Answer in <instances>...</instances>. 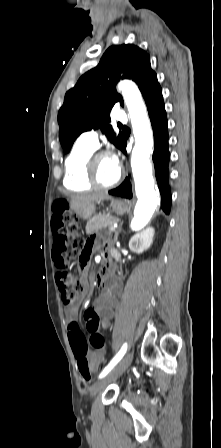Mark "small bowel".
I'll list each match as a JSON object with an SVG mask.
<instances>
[{
  "mask_svg": "<svg viewBox=\"0 0 221 448\" xmlns=\"http://www.w3.org/2000/svg\"><path fill=\"white\" fill-rule=\"evenodd\" d=\"M58 215V212L56 208L53 209L52 219ZM51 227H52V233H53V250L55 249V236L57 231L52 226V220H51ZM88 247L90 250H94L98 248L102 244V240L96 237H92L87 242ZM80 267L83 272L86 271V264H83L80 262ZM81 283L83 287H87V282L84 277L81 279ZM121 290V284L119 282H113L112 284L108 283V285L101 287V292L97 299L94 301V307L93 309L96 311L99 317V327L98 330L106 329L109 325L110 319L114 315V310L118 306V299L117 295L120 293ZM78 314V304L75 303L74 305L67 307L66 309V315L69 319V322H72ZM81 337L85 339L84 334L80 333ZM68 338H69V332H68ZM69 342L72 348V352L75 356V352L73 349V346L71 344L70 338ZM106 355V346L103 348L95 349L91 353H88L87 351V358L89 362L91 363L92 367L94 369H97L101 363L105 360ZM76 358V357H75Z\"/></svg>",
  "mask_w": 221,
  "mask_h": 448,
  "instance_id": "1",
  "label": "small bowel"
}]
</instances>
